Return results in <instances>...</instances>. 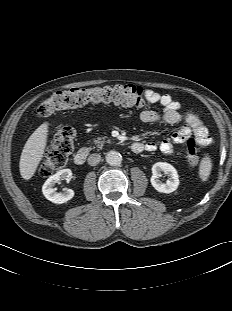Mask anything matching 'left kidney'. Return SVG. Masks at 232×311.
I'll return each mask as SVG.
<instances>
[{
    "label": "left kidney",
    "instance_id": "left-kidney-1",
    "mask_svg": "<svg viewBox=\"0 0 232 311\" xmlns=\"http://www.w3.org/2000/svg\"><path fill=\"white\" fill-rule=\"evenodd\" d=\"M161 172L168 176L166 183H162L159 180ZM150 181L152 186L161 193L174 192L178 188L180 183L177 170L167 162H157L153 165Z\"/></svg>",
    "mask_w": 232,
    "mask_h": 311
}]
</instances>
